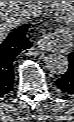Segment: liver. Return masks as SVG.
<instances>
[{
	"label": "liver",
	"mask_w": 74,
	"mask_h": 122,
	"mask_svg": "<svg viewBox=\"0 0 74 122\" xmlns=\"http://www.w3.org/2000/svg\"><path fill=\"white\" fill-rule=\"evenodd\" d=\"M34 1H0V40L20 24V11Z\"/></svg>",
	"instance_id": "1"
}]
</instances>
